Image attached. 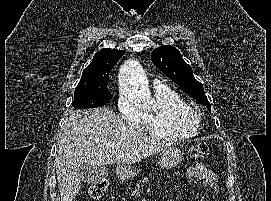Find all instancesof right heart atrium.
Listing matches in <instances>:
<instances>
[{
	"instance_id": "d8ad5b80",
	"label": "right heart atrium",
	"mask_w": 271,
	"mask_h": 201,
	"mask_svg": "<svg viewBox=\"0 0 271 201\" xmlns=\"http://www.w3.org/2000/svg\"><path fill=\"white\" fill-rule=\"evenodd\" d=\"M117 107L122 116L131 124L143 127L145 123V113L139 110L126 95H120Z\"/></svg>"
}]
</instances>
